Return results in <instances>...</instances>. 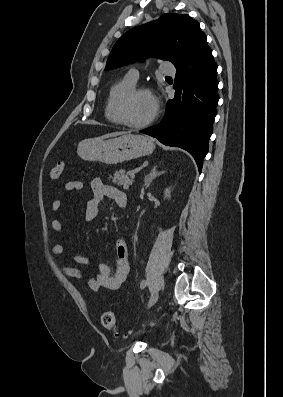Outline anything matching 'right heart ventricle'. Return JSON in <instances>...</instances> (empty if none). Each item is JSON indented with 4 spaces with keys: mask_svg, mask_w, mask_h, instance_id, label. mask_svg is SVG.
Returning a JSON list of instances; mask_svg holds the SVG:
<instances>
[{
    "mask_svg": "<svg viewBox=\"0 0 283 397\" xmlns=\"http://www.w3.org/2000/svg\"><path fill=\"white\" fill-rule=\"evenodd\" d=\"M135 84L136 82L132 81L128 76H125L109 87L104 106V114L109 122L121 124L116 112L117 101L123 93L134 87Z\"/></svg>",
    "mask_w": 283,
    "mask_h": 397,
    "instance_id": "obj_1",
    "label": "right heart ventricle"
}]
</instances>
